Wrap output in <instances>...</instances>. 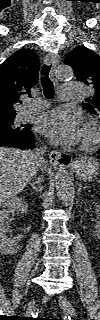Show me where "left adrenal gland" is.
<instances>
[{"label": "left adrenal gland", "instance_id": "obj_1", "mask_svg": "<svg viewBox=\"0 0 100 320\" xmlns=\"http://www.w3.org/2000/svg\"><path fill=\"white\" fill-rule=\"evenodd\" d=\"M87 188V186H82V184L81 183H79V187H78V191H77V193H78V195H80V193H81V191L83 190V189H86Z\"/></svg>", "mask_w": 100, "mask_h": 320}]
</instances>
